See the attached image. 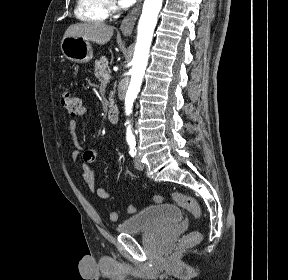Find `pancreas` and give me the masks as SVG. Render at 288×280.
Here are the masks:
<instances>
[{
    "mask_svg": "<svg viewBox=\"0 0 288 280\" xmlns=\"http://www.w3.org/2000/svg\"><path fill=\"white\" fill-rule=\"evenodd\" d=\"M108 68V60L105 56L99 58V60L95 61L94 75L99 79V81L103 82V75ZM114 102L113 93H110L109 96V104L112 105Z\"/></svg>",
    "mask_w": 288,
    "mask_h": 280,
    "instance_id": "1",
    "label": "pancreas"
}]
</instances>
